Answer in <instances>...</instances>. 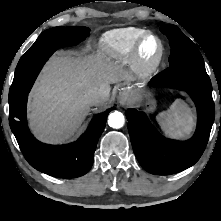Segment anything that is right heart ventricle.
I'll list each match as a JSON object with an SVG mask.
<instances>
[{
  "instance_id": "obj_1",
  "label": "right heart ventricle",
  "mask_w": 221,
  "mask_h": 221,
  "mask_svg": "<svg viewBox=\"0 0 221 221\" xmlns=\"http://www.w3.org/2000/svg\"><path fill=\"white\" fill-rule=\"evenodd\" d=\"M147 31L142 28L128 27L107 33L101 46L104 52L114 60L127 59L135 48L140 37Z\"/></svg>"
}]
</instances>
